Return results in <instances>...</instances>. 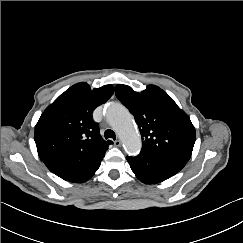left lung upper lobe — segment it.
Here are the masks:
<instances>
[{
	"label": "left lung upper lobe",
	"mask_w": 243,
	"mask_h": 243,
	"mask_svg": "<svg viewBox=\"0 0 243 243\" xmlns=\"http://www.w3.org/2000/svg\"><path fill=\"white\" fill-rule=\"evenodd\" d=\"M117 98L134 115L142 136L140 153L188 161L195 143V128L188 115L155 85L135 92L117 85Z\"/></svg>",
	"instance_id": "left-lung-upper-lobe-1"
}]
</instances>
